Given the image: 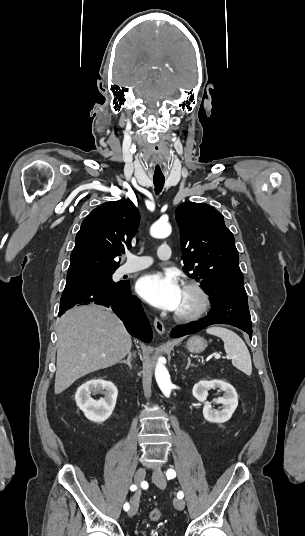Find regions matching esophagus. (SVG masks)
<instances>
[{
	"label": "esophagus",
	"mask_w": 305,
	"mask_h": 536,
	"mask_svg": "<svg viewBox=\"0 0 305 536\" xmlns=\"http://www.w3.org/2000/svg\"><path fill=\"white\" fill-rule=\"evenodd\" d=\"M154 327L155 330L160 334L163 335L165 333V327L162 321L159 318L154 319Z\"/></svg>",
	"instance_id": "esophagus-1"
}]
</instances>
